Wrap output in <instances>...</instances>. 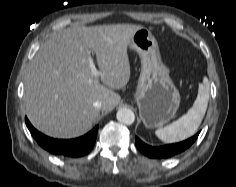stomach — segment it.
<instances>
[{
    "mask_svg": "<svg viewBox=\"0 0 236 187\" xmlns=\"http://www.w3.org/2000/svg\"><path fill=\"white\" fill-rule=\"evenodd\" d=\"M130 48L141 59L135 101L146 128H158L168 123L180 105V94L169 76V68L162 62L156 38L147 28L134 33Z\"/></svg>",
    "mask_w": 236,
    "mask_h": 187,
    "instance_id": "stomach-1",
    "label": "stomach"
}]
</instances>
